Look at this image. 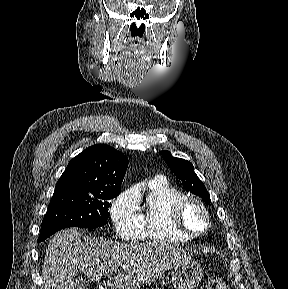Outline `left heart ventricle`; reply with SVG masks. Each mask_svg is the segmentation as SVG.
Masks as SVG:
<instances>
[{
	"label": "left heart ventricle",
	"instance_id": "obj_1",
	"mask_svg": "<svg viewBox=\"0 0 288 289\" xmlns=\"http://www.w3.org/2000/svg\"><path fill=\"white\" fill-rule=\"evenodd\" d=\"M182 221L191 232H199L206 227V219L203 212L194 204H189L184 208Z\"/></svg>",
	"mask_w": 288,
	"mask_h": 289
}]
</instances>
